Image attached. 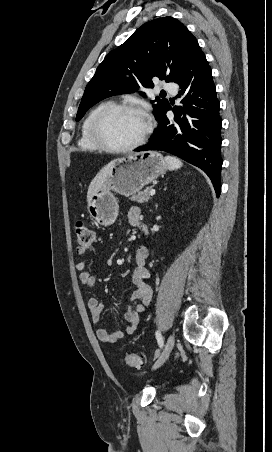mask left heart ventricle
I'll return each instance as SVG.
<instances>
[{"label": "left heart ventricle", "instance_id": "b2bd125f", "mask_svg": "<svg viewBox=\"0 0 272 452\" xmlns=\"http://www.w3.org/2000/svg\"><path fill=\"white\" fill-rule=\"evenodd\" d=\"M145 122L139 114L116 110L102 120L101 129L108 142L116 146L128 145L142 134Z\"/></svg>", "mask_w": 272, "mask_h": 452}]
</instances>
